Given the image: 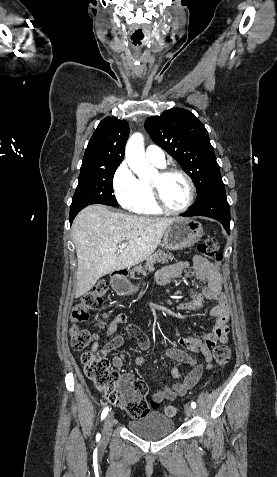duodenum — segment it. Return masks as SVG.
I'll use <instances>...</instances> for the list:
<instances>
[{
    "mask_svg": "<svg viewBox=\"0 0 277 477\" xmlns=\"http://www.w3.org/2000/svg\"><path fill=\"white\" fill-rule=\"evenodd\" d=\"M127 274H128V272H127V270H125V269L116 270V271L113 273V277H114L116 286H117L118 288H121V283H120V281H121L122 279H124V278L127 276Z\"/></svg>",
    "mask_w": 277,
    "mask_h": 477,
    "instance_id": "obj_1",
    "label": "duodenum"
}]
</instances>
